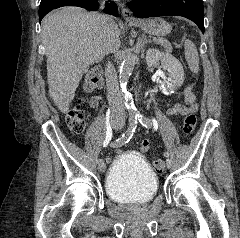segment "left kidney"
I'll return each instance as SVG.
<instances>
[{
  "mask_svg": "<svg viewBox=\"0 0 240 238\" xmlns=\"http://www.w3.org/2000/svg\"><path fill=\"white\" fill-rule=\"evenodd\" d=\"M161 61L163 69L168 71L167 81L157 80L160 90L164 94L172 93L177 87H180L184 82L183 66L178 59L169 53H164L158 49H148L146 52V63L148 67H154Z\"/></svg>",
  "mask_w": 240,
  "mask_h": 238,
  "instance_id": "left-kidney-1",
  "label": "left kidney"
}]
</instances>
